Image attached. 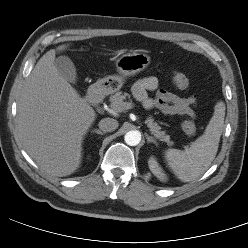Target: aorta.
Returning a JSON list of instances; mask_svg holds the SVG:
<instances>
[{"label": "aorta", "instance_id": "1", "mask_svg": "<svg viewBox=\"0 0 248 248\" xmlns=\"http://www.w3.org/2000/svg\"><path fill=\"white\" fill-rule=\"evenodd\" d=\"M124 140L129 146H136L141 141V134L138 131H129L125 134Z\"/></svg>", "mask_w": 248, "mask_h": 248}]
</instances>
